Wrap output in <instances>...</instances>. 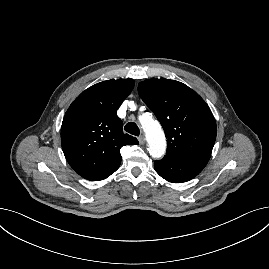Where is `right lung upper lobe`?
Returning <instances> with one entry per match:
<instances>
[{
	"label": "right lung upper lobe",
	"instance_id": "1",
	"mask_svg": "<svg viewBox=\"0 0 269 269\" xmlns=\"http://www.w3.org/2000/svg\"><path fill=\"white\" fill-rule=\"evenodd\" d=\"M134 87L132 79L107 80L83 91L65 113L61 143L70 166L83 178L106 179L121 163L120 148L138 144L122 131L117 109Z\"/></svg>",
	"mask_w": 269,
	"mask_h": 269
}]
</instances>
